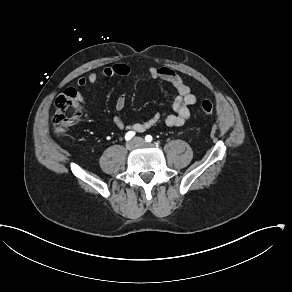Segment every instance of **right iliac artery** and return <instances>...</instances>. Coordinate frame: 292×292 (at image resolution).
<instances>
[{"mask_svg":"<svg viewBox=\"0 0 292 292\" xmlns=\"http://www.w3.org/2000/svg\"><path fill=\"white\" fill-rule=\"evenodd\" d=\"M134 135H135L134 131H129L126 133L125 139L128 141V140L132 139Z\"/></svg>","mask_w":292,"mask_h":292,"instance_id":"obj_1","label":"right iliac artery"}]
</instances>
